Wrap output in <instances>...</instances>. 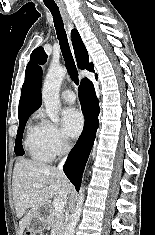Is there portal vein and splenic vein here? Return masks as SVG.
<instances>
[{"label": "portal vein and splenic vein", "instance_id": "portal-vein-and-splenic-vein-1", "mask_svg": "<svg viewBox=\"0 0 155 235\" xmlns=\"http://www.w3.org/2000/svg\"><path fill=\"white\" fill-rule=\"evenodd\" d=\"M31 186L34 188H43V185L38 184V183H33ZM53 206L57 212H62L64 209V201L60 198H55V200L53 202Z\"/></svg>", "mask_w": 155, "mask_h": 235}]
</instances>
